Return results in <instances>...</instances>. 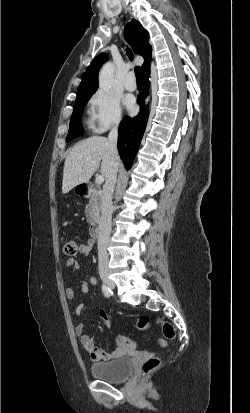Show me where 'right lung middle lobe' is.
<instances>
[{"label": "right lung middle lobe", "instance_id": "right-lung-middle-lobe-1", "mask_svg": "<svg viewBox=\"0 0 250 413\" xmlns=\"http://www.w3.org/2000/svg\"><path fill=\"white\" fill-rule=\"evenodd\" d=\"M91 95L92 93L76 96V100L74 103V110H73L71 120H70L69 132L67 135V142L83 134L84 129L82 126L81 117L83 114L84 106L87 104Z\"/></svg>", "mask_w": 250, "mask_h": 413}]
</instances>
